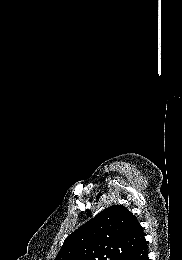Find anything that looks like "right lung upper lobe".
<instances>
[{"label": "right lung upper lobe", "mask_w": 182, "mask_h": 260, "mask_svg": "<svg viewBox=\"0 0 182 260\" xmlns=\"http://www.w3.org/2000/svg\"><path fill=\"white\" fill-rule=\"evenodd\" d=\"M145 243L135 215L112 205L71 233L55 260H126Z\"/></svg>", "instance_id": "cb5924a9"}]
</instances>
